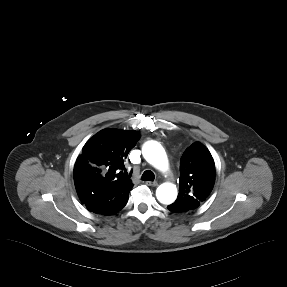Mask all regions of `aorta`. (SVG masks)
<instances>
[{"mask_svg":"<svg viewBox=\"0 0 287 287\" xmlns=\"http://www.w3.org/2000/svg\"><path fill=\"white\" fill-rule=\"evenodd\" d=\"M145 160L156 169L165 172L169 168L166 152L157 141H147L142 148ZM176 185L170 182L161 184L156 190V197L162 204H172L177 198Z\"/></svg>","mask_w":287,"mask_h":287,"instance_id":"obj_1","label":"aorta"}]
</instances>
